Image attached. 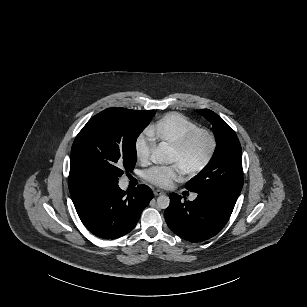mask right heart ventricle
I'll list each match as a JSON object with an SVG mask.
<instances>
[{
	"label": "right heart ventricle",
	"mask_w": 307,
	"mask_h": 307,
	"mask_svg": "<svg viewBox=\"0 0 307 307\" xmlns=\"http://www.w3.org/2000/svg\"><path fill=\"white\" fill-rule=\"evenodd\" d=\"M198 131V127L187 117L178 113H167L160 120L147 125L145 134L155 144L175 145Z\"/></svg>",
	"instance_id": "e07e8e85"
}]
</instances>
